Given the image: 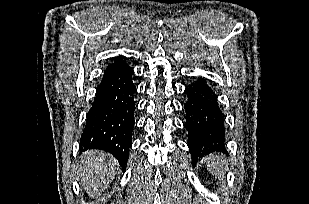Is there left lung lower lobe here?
I'll list each match as a JSON object with an SVG mask.
<instances>
[{"instance_id":"obj_1","label":"left lung lower lobe","mask_w":309,"mask_h":204,"mask_svg":"<svg viewBox=\"0 0 309 204\" xmlns=\"http://www.w3.org/2000/svg\"><path fill=\"white\" fill-rule=\"evenodd\" d=\"M185 93V127L193 162L215 151L226 152L224 116L211 87L200 78L191 83Z\"/></svg>"}]
</instances>
